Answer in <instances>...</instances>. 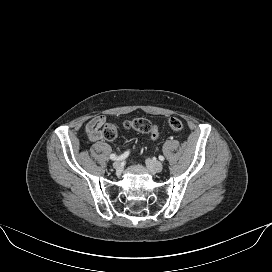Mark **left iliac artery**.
Masks as SVG:
<instances>
[{"label": "left iliac artery", "mask_w": 272, "mask_h": 272, "mask_svg": "<svg viewBox=\"0 0 272 272\" xmlns=\"http://www.w3.org/2000/svg\"><path fill=\"white\" fill-rule=\"evenodd\" d=\"M159 159H160L161 161H164L165 158H164L162 155H160V156H159Z\"/></svg>", "instance_id": "obj_1"}]
</instances>
